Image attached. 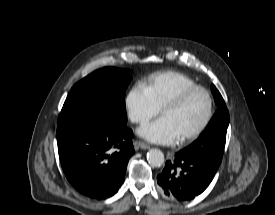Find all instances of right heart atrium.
Wrapping results in <instances>:
<instances>
[{"instance_id": "obj_1", "label": "right heart atrium", "mask_w": 275, "mask_h": 215, "mask_svg": "<svg viewBox=\"0 0 275 215\" xmlns=\"http://www.w3.org/2000/svg\"><path fill=\"white\" fill-rule=\"evenodd\" d=\"M125 105L130 120L136 124H144L160 112L146 87L140 83L129 90Z\"/></svg>"}]
</instances>
